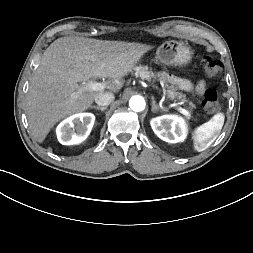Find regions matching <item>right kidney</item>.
Here are the masks:
<instances>
[{
    "mask_svg": "<svg viewBox=\"0 0 253 253\" xmlns=\"http://www.w3.org/2000/svg\"><path fill=\"white\" fill-rule=\"evenodd\" d=\"M95 121L92 113H79L63 120L57 127V138L63 145H74L84 141Z\"/></svg>",
    "mask_w": 253,
    "mask_h": 253,
    "instance_id": "ca27d5eb",
    "label": "right kidney"
}]
</instances>
